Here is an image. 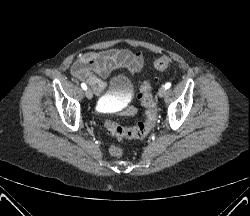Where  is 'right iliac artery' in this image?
<instances>
[{
    "mask_svg": "<svg viewBox=\"0 0 250 216\" xmlns=\"http://www.w3.org/2000/svg\"><path fill=\"white\" fill-rule=\"evenodd\" d=\"M81 87H82V89H84V90H86V89H87V86H86V84H85V83H82V84H81Z\"/></svg>",
    "mask_w": 250,
    "mask_h": 216,
    "instance_id": "obj_1",
    "label": "right iliac artery"
}]
</instances>
